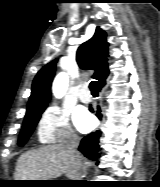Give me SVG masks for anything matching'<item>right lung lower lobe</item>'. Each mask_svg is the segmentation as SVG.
I'll return each mask as SVG.
<instances>
[{
	"label": "right lung lower lobe",
	"mask_w": 160,
	"mask_h": 187,
	"mask_svg": "<svg viewBox=\"0 0 160 187\" xmlns=\"http://www.w3.org/2000/svg\"><path fill=\"white\" fill-rule=\"evenodd\" d=\"M105 85V79L98 83V88L101 89ZM92 111V109L90 108ZM96 116L101 119V111L98 108ZM101 131L97 130L84 137L80 143L79 151L82 152L87 158L91 160H97L100 157L99 139ZM76 186H85L86 184H77Z\"/></svg>",
	"instance_id": "98d812e1"
}]
</instances>
